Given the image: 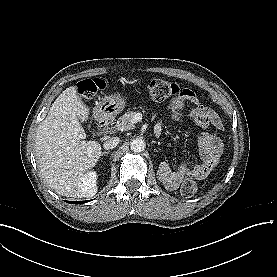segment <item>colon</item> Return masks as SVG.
Returning a JSON list of instances; mask_svg holds the SVG:
<instances>
[{
	"instance_id": "1",
	"label": "colon",
	"mask_w": 277,
	"mask_h": 277,
	"mask_svg": "<svg viewBox=\"0 0 277 277\" xmlns=\"http://www.w3.org/2000/svg\"><path fill=\"white\" fill-rule=\"evenodd\" d=\"M105 85L102 80H84L80 82L78 86L79 93L83 98H92L94 94L101 89H104ZM147 90L150 97L154 100H164L171 96L178 95L184 90L176 83L164 81L160 79L151 80L147 84ZM208 167L211 169L214 167L212 159L207 162ZM197 187L193 179H187L181 186L180 193L183 197L189 198L196 193Z\"/></svg>"
}]
</instances>
